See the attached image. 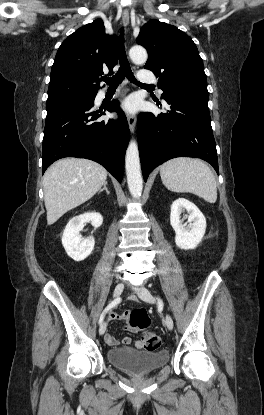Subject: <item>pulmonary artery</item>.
Instances as JSON below:
<instances>
[{"label":"pulmonary artery","mask_w":264,"mask_h":415,"mask_svg":"<svg viewBox=\"0 0 264 415\" xmlns=\"http://www.w3.org/2000/svg\"><path fill=\"white\" fill-rule=\"evenodd\" d=\"M139 80L144 84H155L157 81L153 75L144 72L139 73Z\"/></svg>","instance_id":"obj_1"}]
</instances>
